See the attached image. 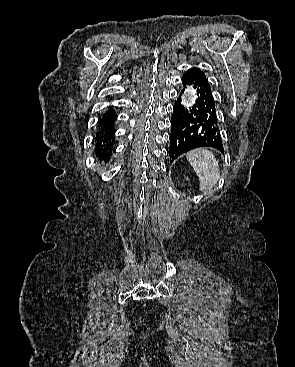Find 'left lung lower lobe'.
Returning <instances> with one entry per match:
<instances>
[{
    "mask_svg": "<svg viewBox=\"0 0 295 367\" xmlns=\"http://www.w3.org/2000/svg\"><path fill=\"white\" fill-rule=\"evenodd\" d=\"M182 83L184 86L193 85L198 97L189 109L184 108L181 95L175 102L169 137L170 163L183 153L198 147H212L223 152L216 104L204 72L193 67L184 73Z\"/></svg>",
    "mask_w": 295,
    "mask_h": 367,
    "instance_id": "obj_1",
    "label": "left lung lower lobe"
}]
</instances>
